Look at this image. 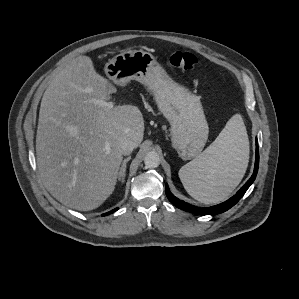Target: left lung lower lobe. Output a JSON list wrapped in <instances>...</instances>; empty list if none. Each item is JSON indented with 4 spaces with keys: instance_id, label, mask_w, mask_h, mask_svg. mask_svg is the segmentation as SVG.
Here are the masks:
<instances>
[{
    "instance_id": "obj_1",
    "label": "left lung lower lobe",
    "mask_w": 299,
    "mask_h": 299,
    "mask_svg": "<svg viewBox=\"0 0 299 299\" xmlns=\"http://www.w3.org/2000/svg\"><path fill=\"white\" fill-rule=\"evenodd\" d=\"M258 166H259V150H258V142L256 141V160H255V167H254V173L252 174L251 178L245 183V185L236 193V195H234L233 197H231L229 200L212 206V207H208V208H200V207H196L193 206L191 204H188L178 198H176L170 191L168 186L166 185V195L169 199V201L175 205L176 207L194 213V214H198V215H214V214H220L223 213L225 211H227L228 209H230L231 207H233L238 201L239 199H241L243 197V195L245 194V192L247 191V189L250 187V185L253 183V181L255 180L256 174L258 172Z\"/></svg>"
}]
</instances>
